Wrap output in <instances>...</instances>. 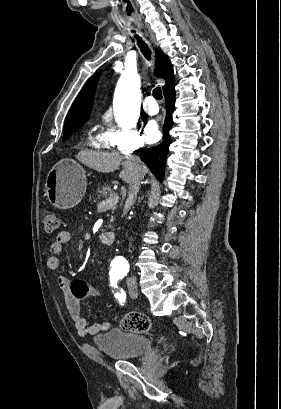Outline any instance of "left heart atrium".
Returning <instances> with one entry per match:
<instances>
[{
	"label": "left heart atrium",
	"mask_w": 281,
	"mask_h": 409,
	"mask_svg": "<svg viewBox=\"0 0 281 409\" xmlns=\"http://www.w3.org/2000/svg\"><path fill=\"white\" fill-rule=\"evenodd\" d=\"M159 136V130L156 123L152 122L147 126L146 137L150 142L155 141Z\"/></svg>",
	"instance_id": "39dd6f15"
}]
</instances>
